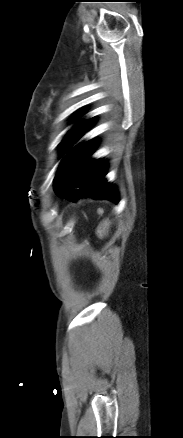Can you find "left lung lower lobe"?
<instances>
[{"mask_svg":"<svg viewBox=\"0 0 183 438\" xmlns=\"http://www.w3.org/2000/svg\"><path fill=\"white\" fill-rule=\"evenodd\" d=\"M97 143L95 139L89 140L66 155L55 176L59 197L75 201L88 196L118 203V191L105 179L106 161L89 159Z\"/></svg>","mask_w":183,"mask_h":438,"instance_id":"left-lung-lower-lobe-1","label":"left lung lower lobe"}]
</instances>
